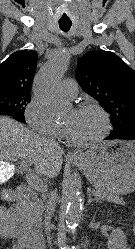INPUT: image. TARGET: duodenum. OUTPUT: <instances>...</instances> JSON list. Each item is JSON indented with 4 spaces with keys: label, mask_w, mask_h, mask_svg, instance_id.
<instances>
[{
    "label": "duodenum",
    "mask_w": 135,
    "mask_h": 249,
    "mask_svg": "<svg viewBox=\"0 0 135 249\" xmlns=\"http://www.w3.org/2000/svg\"><path fill=\"white\" fill-rule=\"evenodd\" d=\"M3 198L6 201L13 203L12 206L17 210V213L24 224V234L27 245L33 249H41L44 243L43 234L40 230L33 234V226L24 211V208L30 203L31 191L27 187H16L5 191ZM27 230L31 232V236L28 234Z\"/></svg>",
    "instance_id": "duodenum-1"
}]
</instances>
